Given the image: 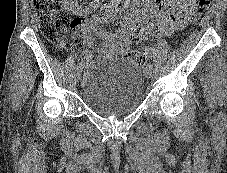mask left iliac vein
Wrapping results in <instances>:
<instances>
[{"label": "left iliac vein", "instance_id": "4c4485c4", "mask_svg": "<svg viewBox=\"0 0 227 173\" xmlns=\"http://www.w3.org/2000/svg\"><path fill=\"white\" fill-rule=\"evenodd\" d=\"M143 74H144V76H145L146 78H150L151 75H152V69L149 68V67H147V66H145V67L143 68Z\"/></svg>", "mask_w": 227, "mask_h": 173}]
</instances>
